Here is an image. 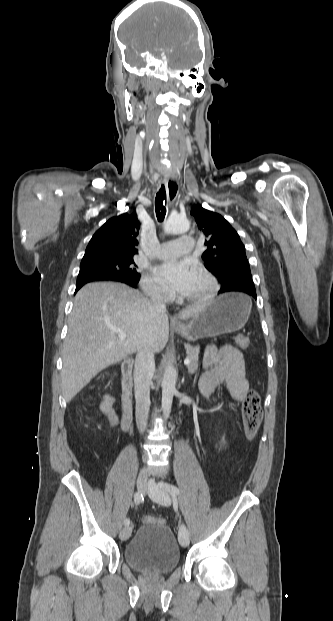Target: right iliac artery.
<instances>
[{
	"mask_svg": "<svg viewBox=\"0 0 333 621\" xmlns=\"http://www.w3.org/2000/svg\"><path fill=\"white\" fill-rule=\"evenodd\" d=\"M143 501V495L140 492L135 493L134 495V502L136 505H139L141 502ZM124 525L125 526H129L130 525V519L126 518L124 520Z\"/></svg>",
	"mask_w": 333,
	"mask_h": 621,
	"instance_id": "right-iliac-artery-1",
	"label": "right iliac artery"
}]
</instances>
